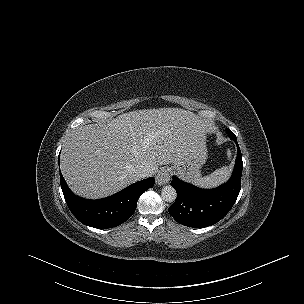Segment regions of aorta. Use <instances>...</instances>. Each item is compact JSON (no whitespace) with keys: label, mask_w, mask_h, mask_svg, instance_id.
<instances>
[{"label":"aorta","mask_w":304,"mask_h":304,"mask_svg":"<svg viewBox=\"0 0 304 304\" xmlns=\"http://www.w3.org/2000/svg\"><path fill=\"white\" fill-rule=\"evenodd\" d=\"M161 197L164 201L172 203L177 198V192L172 186L167 185L162 188Z\"/></svg>","instance_id":"762f6f07"}]
</instances>
